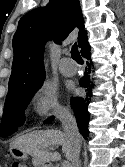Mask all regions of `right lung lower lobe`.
Returning a JSON list of instances; mask_svg holds the SVG:
<instances>
[{
  "instance_id": "obj_1",
  "label": "right lung lower lobe",
  "mask_w": 125,
  "mask_h": 167,
  "mask_svg": "<svg viewBox=\"0 0 125 167\" xmlns=\"http://www.w3.org/2000/svg\"><path fill=\"white\" fill-rule=\"evenodd\" d=\"M81 53L84 58L87 60H91L90 58V46L89 43L86 41L84 45L81 48ZM92 62L88 64V69L84 73L83 78L80 80V85L87 89L88 94L85 98H73L71 99V104L74 110V114L77 120L78 127L80 129V133L82 136L87 139L89 135L88 130V123H89V112L87 110L88 104L90 102V96L92 95V85H91V79H90V72H91V66ZM54 119V117H51L45 121V123H49Z\"/></svg>"
}]
</instances>
